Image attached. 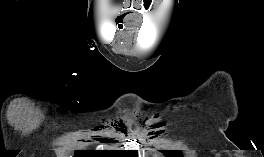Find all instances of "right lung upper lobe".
Masks as SVG:
<instances>
[{
    "label": "right lung upper lobe",
    "mask_w": 264,
    "mask_h": 157,
    "mask_svg": "<svg viewBox=\"0 0 264 157\" xmlns=\"http://www.w3.org/2000/svg\"><path fill=\"white\" fill-rule=\"evenodd\" d=\"M137 150L76 151L74 157H137Z\"/></svg>",
    "instance_id": "obj_1"
}]
</instances>
